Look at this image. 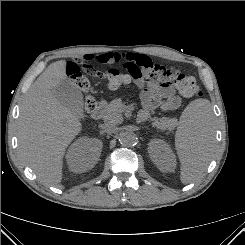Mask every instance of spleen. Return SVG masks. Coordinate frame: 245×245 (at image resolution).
I'll use <instances>...</instances> for the list:
<instances>
[{
    "label": "spleen",
    "instance_id": "spleen-1",
    "mask_svg": "<svg viewBox=\"0 0 245 245\" xmlns=\"http://www.w3.org/2000/svg\"><path fill=\"white\" fill-rule=\"evenodd\" d=\"M213 138V112L210 101L196 99L184 109L175 135L182 183L194 181L205 171L211 159Z\"/></svg>",
    "mask_w": 245,
    "mask_h": 245
}]
</instances>
